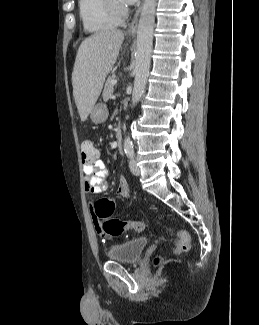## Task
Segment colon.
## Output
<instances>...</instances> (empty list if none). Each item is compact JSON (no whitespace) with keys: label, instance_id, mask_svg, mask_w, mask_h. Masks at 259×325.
Returning a JSON list of instances; mask_svg holds the SVG:
<instances>
[{"label":"colon","instance_id":"1","mask_svg":"<svg viewBox=\"0 0 259 325\" xmlns=\"http://www.w3.org/2000/svg\"><path fill=\"white\" fill-rule=\"evenodd\" d=\"M98 151L93 143L84 140L80 144V156L83 163H90L97 157ZM115 202L111 199H101L94 205V214L98 219L102 231L108 236H116L125 231L140 233L145 229L141 221H123L113 218ZM176 240L173 251L176 254L186 253L190 249V236L185 230H170ZM157 262L159 259L156 260Z\"/></svg>","mask_w":259,"mask_h":325}]
</instances>
